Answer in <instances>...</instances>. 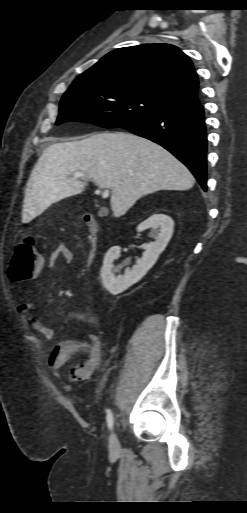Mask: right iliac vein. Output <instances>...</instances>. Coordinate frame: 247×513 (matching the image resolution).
<instances>
[{
  "mask_svg": "<svg viewBox=\"0 0 247 513\" xmlns=\"http://www.w3.org/2000/svg\"><path fill=\"white\" fill-rule=\"evenodd\" d=\"M120 450V444L115 432H112L109 436V452L111 455H117Z\"/></svg>",
  "mask_w": 247,
  "mask_h": 513,
  "instance_id": "right-iliac-vein-1",
  "label": "right iliac vein"
}]
</instances>
